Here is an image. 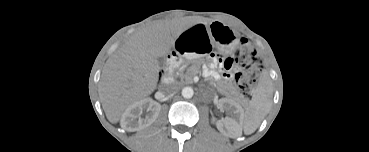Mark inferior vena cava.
<instances>
[{"instance_id":"602c4592","label":"inferior vena cava","mask_w":369,"mask_h":152,"mask_svg":"<svg viewBox=\"0 0 369 152\" xmlns=\"http://www.w3.org/2000/svg\"><path fill=\"white\" fill-rule=\"evenodd\" d=\"M178 90V85L175 82L164 83L161 87V92L164 94H173Z\"/></svg>"}]
</instances>
